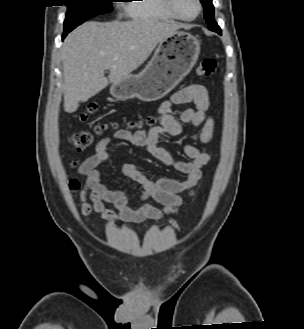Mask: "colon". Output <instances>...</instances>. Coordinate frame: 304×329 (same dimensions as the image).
Segmentation results:
<instances>
[{"instance_id": "obj_1", "label": "colon", "mask_w": 304, "mask_h": 329, "mask_svg": "<svg viewBox=\"0 0 304 329\" xmlns=\"http://www.w3.org/2000/svg\"><path fill=\"white\" fill-rule=\"evenodd\" d=\"M216 68V62L211 59V58H205L202 59L197 67V74L199 76H210L214 73ZM98 108V105L94 102H90L86 105L85 110L80 113L79 115V120L84 122L86 121L91 114L96 112ZM159 121V118H154V117H148L145 119V124L148 126H154L156 122ZM105 127L102 126H97L93 132L91 131H80L78 133L73 134L70 137V143L73 147V149L78 150V151H83L87 148H89L95 138V135L100 134L103 132ZM69 189L72 192H77L80 189V183L72 179L69 183Z\"/></svg>"}]
</instances>
